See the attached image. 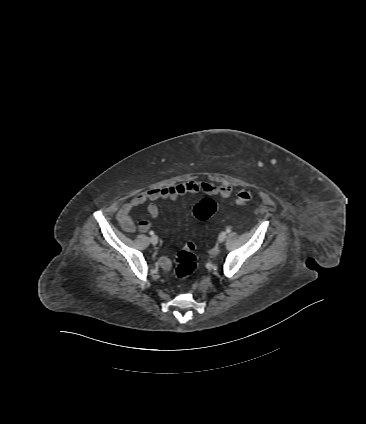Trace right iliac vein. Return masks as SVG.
Listing matches in <instances>:
<instances>
[{"label":"right iliac vein","mask_w":366,"mask_h":424,"mask_svg":"<svg viewBox=\"0 0 366 424\" xmlns=\"http://www.w3.org/2000/svg\"><path fill=\"white\" fill-rule=\"evenodd\" d=\"M150 241H151V243H152L153 245H156V244L158 243V237H157L156 235H153V236L150 238Z\"/></svg>","instance_id":"1"}]
</instances>
